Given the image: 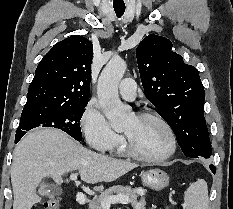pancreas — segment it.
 <instances>
[{
    "mask_svg": "<svg viewBox=\"0 0 233 209\" xmlns=\"http://www.w3.org/2000/svg\"><path fill=\"white\" fill-rule=\"evenodd\" d=\"M139 191V189H131L129 187H124L121 185L112 186L101 192L99 196H96L92 200H89L88 209H102L101 201L110 196L128 197L133 209H146V201L144 200V198H141L139 201L137 200Z\"/></svg>",
    "mask_w": 233,
    "mask_h": 209,
    "instance_id": "obj_1",
    "label": "pancreas"
}]
</instances>
